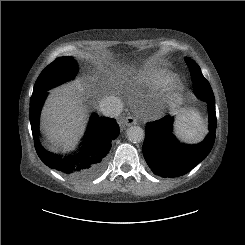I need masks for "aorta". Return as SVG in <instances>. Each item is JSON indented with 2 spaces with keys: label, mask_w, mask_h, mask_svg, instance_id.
<instances>
[{
  "label": "aorta",
  "mask_w": 245,
  "mask_h": 245,
  "mask_svg": "<svg viewBox=\"0 0 245 245\" xmlns=\"http://www.w3.org/2000/svg\"><path fill=\"white\" fill-rule=\"evenodd\" d=\"M127 137L130 141L134 143H139L144 140L145 133L144 130L139 126H131L127 130Z\"/></svg>",
  "instance_id": "aorta-1"
}]
</instances>
